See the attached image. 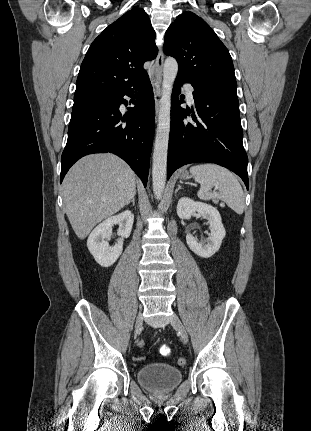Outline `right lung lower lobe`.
I'll use <instances>...</instances> for the list:
<instances>
[{
    "instance_id": "98d812e1",
    "label": "right lung lower lobe",
    "mask_w": 311,
    "mask_h": 431,
    "mask_svg": "<svg viewBox=\"0 0 311 431\" xmlns=\"http://www.w3.org/2000/svg\"><path fill=\"white\" fill-rule=\"evenodd\" d=\"M134 89L139 90L133 102L135 107L128 108L122 117L119 106L127 105L123 96L132 97ZM154 125V96L148 76L115 93L74 100L68 140L61 157L60 182L81 157L111 152L125 160L146 186Z\"/></svg>"
}]
</instances>
